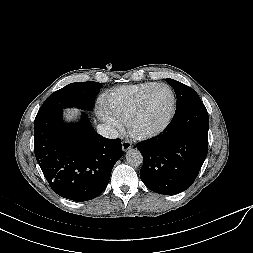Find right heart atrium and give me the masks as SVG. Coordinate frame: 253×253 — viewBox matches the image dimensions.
I'll use <instances>...</instances> for the list:
<instances>
[{"mask_svg": "<svg viewBox=\"0 0 253 253\" xmlns=\"http://www.w3.org/2000/svg\"><path fill=\"white\" fill-rule=\"evenodd\" d=\"M98 115L99 117L108 124L113 130H121L122 124L118 122L110 113L109 111L103 106L100 105L98 107Z\"/></svg>", "mask_w": 253, "mask_h": 253, "instance_id": "1", "label": "right heart atrium"}]
</instances>
